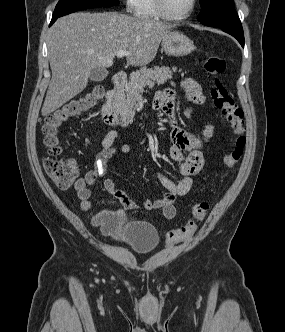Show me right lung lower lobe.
Returning a JSON list of instances; mask_svg holds the SVG:
<instances>
[{
	"instance_id": "obj_1",
	"label": "right lung lower lobe",
	"mask_w": 285,
	"mask_h": 332,
	"mask_svg": "<svg viewBox=\"0 0 285 332\" xmlns=\"http://www.w3.org/2000/svg\"><path fill=\"white\" fill-rule=\"evenodd\" d=\"M57 18H59V17H56V16H53L52 17V20H51V23H50V26L57 20Z\"/></svg>"
}]
</instances>
